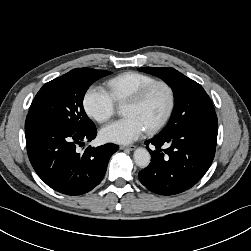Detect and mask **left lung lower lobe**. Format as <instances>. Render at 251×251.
<instances>
[{
	"label": "left lung lower lobe",
	"instance_id": "left-lung-lower-lobe-1",
	"mask_svg": "<svg viewBox=\"0 0 251 251\" xmlns=\"http://www.w3.org/2000/svg\"><path fill=\"white\" fill-rule=\"evenodd\" d=\"M186 124L145 142L151 163L140 182L159 195H174L194 186L210 167L216 149L218 120L209 101H202ZM169 146L162 149V146Z\"/></svg>",
	"mask_w": 251,
	"mask_h": 251
}]
</instances>
